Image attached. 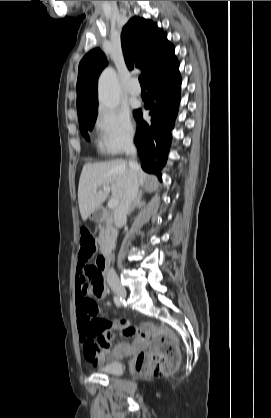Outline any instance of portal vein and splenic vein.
<instances>
[{"mask_svg":"<svg viewBox=\"0 0 271 418\" xmlns=\"http://www.w3.org/2000/svg\"><path fill=\"white\" fill-rule=\"evenodd\" d=\"M110 190H111L110 187H103V191H105L107 193H109ZM118 204H119V200L118 199H111L108 202V207L109 208H115L116 206H118Z\"/></svg>","mask_w":271,"mask_h":418,"instance_id":"18ae733b","label":"portal vein and splenic vein"}]
</instances>
